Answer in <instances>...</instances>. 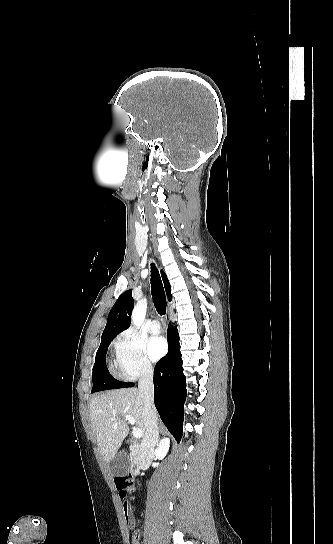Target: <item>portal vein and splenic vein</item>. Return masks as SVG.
Returning <instances> with one entry per match:
<instances>
[{
  "label": "portal vein and splenic vein",
  "mask_w": 333,
  "mask_h": 544,
  "mask_svg": "<svg viewBox=\"0 0 333 544\" xmlns=\"http://www.w3.org/2000/svg\"><path fill=\"white\" fill-rule=\"evenodd\" d=\"M115 418V415H113V417L111 418V420H113ZM124 418L131 424V425H134L135 424V419L133 416L131 415H124ZM133 436L136 438V439H140L142 436H143V433H142V430L139 429V428H134L133 429Z\"/></svg>",
  "instance_id": "obj_1"
}]
</instances>
